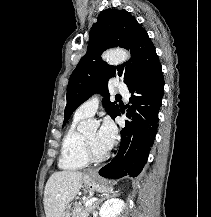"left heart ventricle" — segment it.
Segmentation results:
<instances>
[{
    "label": "left heart ventricle",
    "mask_w": 211,
    "mask_h": 217,
    "mask_svg": "<svg viewBox=\"0 0 211 217\" xmlns=\"http://www.w3.org/2000/svg\"><path fill=\"white\" fill-rule=\"evenodd\" d=\"M84 135L86 136V138L88 139L89 143L91 144L93 150L96 153H103L106 151L101 146H99V144L97 143V131H96V129L88 131Z\"/></svg>",
    "instance_id": "b2bd125f"
}]
</instances>
